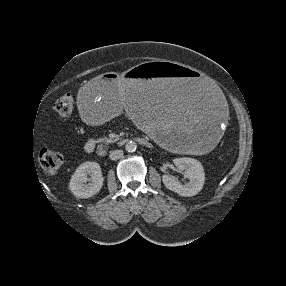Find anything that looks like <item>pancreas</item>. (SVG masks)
Instances as JSON below:
<instances>
[{"mask_svg": "<svg viewBox=\"0 0 286 286\" xmlns=\"http://www.w3.org/2000/svg\"><path fill=\"white\" fill-rule=\"evenodd\" d=\"M118 139H119L118 137L101 138L98 139V142L109 144L116 142Z\"/></svg>", "mask_w": 286, "mask_h": 286, "instance_id": "1", "label": "pancreas"}]
</instances>
